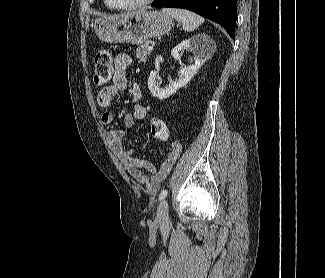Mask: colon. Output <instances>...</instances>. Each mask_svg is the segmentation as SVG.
I'll list each match as a JSON object with an SVG mask.
<instances>
[{
  "label": "colon",
  "instance_id": "1",
  "mask_svg": "<svg viewBox=\"0 0 325 278\" xmlns=\"http://www.w3.org/2000/svg\"><path fill=\"white\" fill-rule=\"evenodd\" d=\"M113 74V64L110 53L107 50H100L94 60V83L97 86L107 84ZM152 135L161 140L166 141L169 138V131L164 120L154 117L149 122Z\"/></svg>",
  "mask_w": 325,
  "mask_h": 278
}]
</instances>
